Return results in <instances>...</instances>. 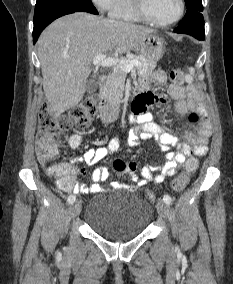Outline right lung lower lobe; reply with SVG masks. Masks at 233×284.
Wrapping results in <instances>:
<instances>
[{"label":"right lung lower lobe","instance_id":"1","mask_svg":"<svg viewBox=\"0 0 233 284\" xmlns=\"http://www.w3.org/2000/svg\"><path fill=\"white\" fill-rule=\"evenodd\" d=\"M76 11H64V12H58V13H54L51 15H48L44 18H42L41 20L34 22V29H33V41L34 43L37 41L40 33L43 31V29L49 25L52 21H54L55 19L66 15V14H70V13H74ZM98 14V13H97Z\"/></svg>","mask_w":233,"mask_h":284}]
</instances>
